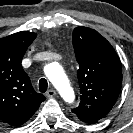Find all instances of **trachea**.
I'll list each match as a JSON object with an SVG mask.
<instances>
[{"mask_svg":"<svg viewBox=\"0 0 133 133\" xmlns=\"http://www.w3.org/2000/svg\"><path fill=\"white\" fill-rule=\"evenodd\" d=\"M47 88H48L47 80L45 78L40 79V81H39V91L44 93V92H46Z\"/></svg>","mask_w":133,"mask_h":133,"instance_id":"trachea-1","label":"trachea"}]
</instances>
